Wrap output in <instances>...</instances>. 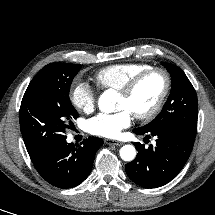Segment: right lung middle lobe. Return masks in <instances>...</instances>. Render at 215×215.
Instances as JSON below:
<instances>
[{"label":"right lung middle lobe","mask_w":215,"mask_h":215,"mask_svg":"<svg viewBox=\"0 0 215 215\" xmlns=\"http://www.w3.org/2000/svg\"><path fill=\"white\" fill-rule=\"evenodd\" d=\"M82 65L51 63L30 82L21 102L20 128L31 159L64 139L78 117L69 99L73 78Z\"/></svg>","instance_id":"obj_1"}]
</instances>
